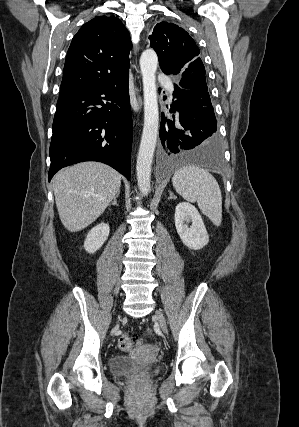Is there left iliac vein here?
Segmentation results:
<instances>
[{"instance_id":"obj_1","label":"left iliac vein","mask_w":299,"mask_h":427,"mask_svg":"<svg viewBox=\"0 0 299 427\" xmlns=\"http://www.w3.org/2000/svg\"><path fill=\"white\" fill-rule=\"evenodd\" d=\"M155 316L159 322V325H160V328L162 329V331L164 333H167V323H166L165 317L162 314V312L160 310H157L155 312Z\"/></svg>"}]
</instances>
